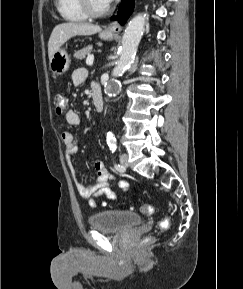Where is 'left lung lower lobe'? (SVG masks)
Instances as JSON below:
<instances>
[{
  "label": "left lung lower lobe",
  "instance_id": "1",
  "mask_svg": "<svg viewBox=\"0 0 243 289\" xmlns=\"http://www.w3.org/2000/svg\"><path fill=\"white\" fill-rule=\"evenodd\" d=\"M134 9V0H121V5L117 16L112 17V20H118L121 25L127 21Z\"/></svg>",
  "mask_w": 243,
  "mask_h": 289
}]
</instances>
